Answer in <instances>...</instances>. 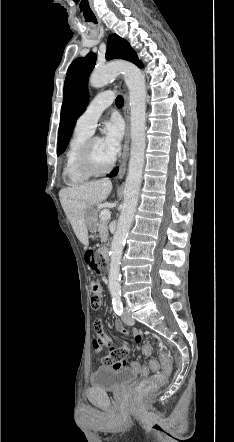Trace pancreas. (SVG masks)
<instances>
[{
	"label": "pancreas",
	"mask_w": 234,
	"mask_h": 442,
	"mask_svg": "<svg viewBox=\"0 0 234 442\" xmlns=\"http://www.w3.org/2000/svg\"><path fill=\"white\" fill-rule=\"evenodd\" d=\"M96 229L99 232V236L101 238L102 243H106L108 240L109 232H108V222L105 220H101L96 218Z\"/></svg>",
	"instance_id": "1"
}]
</instances>
